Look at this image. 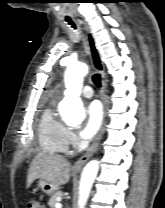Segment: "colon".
<instances>
[{"mask_svg": "<svg viewBox=\"0 0 165 208\" xmlns=\"http://www.w3.org/2000/svg\"><path fill=\"white\" fill-rule=\"evenodd\" d=\"M28 208H44L42 203L37 199H32L28 203Z\"/></svg>", "mask_w": 165, "mask_h": 208, "instance_id": "5ec220e1", "label": "colon"}]
</instances>
